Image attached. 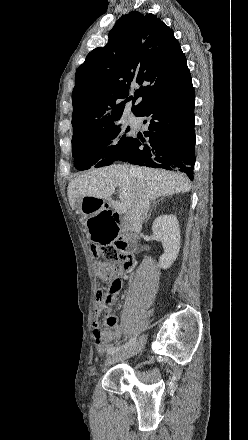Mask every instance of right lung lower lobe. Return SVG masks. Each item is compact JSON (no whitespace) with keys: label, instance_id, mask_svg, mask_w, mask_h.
Segmentation results:
<instances>
[{"label":"right lung lower lobe","instance_id":"right-lung-lower-lobe-1","mask_svg":"<svg viewBox=\"0 0 248 440\" xmlns=\"http://www.w3.org/2000/svg\"><path fill=\"white\" fill-rule=\"evenodd\" d=\"M195 95L191 79L146 101L136 116L146 117L144 137H132L119 161L184 172L193 180Z\"/></svg>","mask_w":248,"mask_h":440}]
</instances>
